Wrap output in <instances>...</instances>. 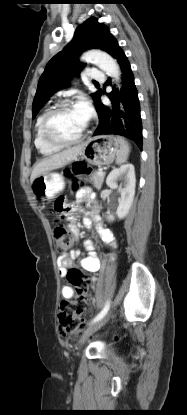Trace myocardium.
<instances>
[{"label": "myocardium", "mask_w": 187, "mask_h": 415, "mask_svg": "<svg viewBox=\"0 0 187 415\" xmlns=\"http://www.w3.org/2000/svg\"><path fill=\"white\" fill-rule=\"evenodd\" d=\"M72 107V103L70 101L67 100H63L61 102H58L57 104H55L45 115L43 122H42V127H41V131H42V136L45 139V141L53 146H58V147H67V146H71L74 144L79 143L80 141L83 140V138L85 137L89 124L88 122L86 123L83 131L75 138L73 139H61L59 137H57L56 135L53 134V132L51 131V123L53 118L63 109Z\"/></svg>", "instance_id": "obj_1"}]
</instances>
